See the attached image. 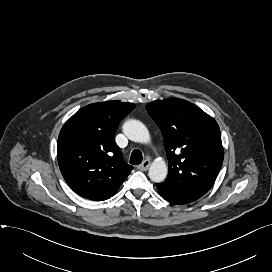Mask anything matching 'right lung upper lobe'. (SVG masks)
Returning <instances> with one entry per match:
<instances>
[{
	"mask_svg": "<svg viewBox=\"0 0 272 272\" xmlns=\"http://www.w3.org/2000/svg\"><path fill=\"white\" fill-rule=\"evenodd\" d=\"M135 105L107 101L87 105L62 127L57 145L58 163L69 187L78 195L103 201L112 197L132 166L123 161L115 142L120 121Z\"/></svg>",
	"mask_w": 272,
	"mask_h": 272,
	"instance_id": "obj_1",
	"label": "right lung upper lobe"
}]
</instances>
